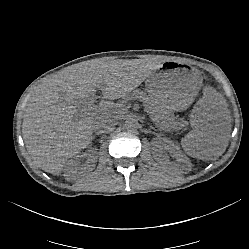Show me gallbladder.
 <instances>
[{
    "label": "gallbladder",
    "instance_id": "obj_1",
    "mask_svg": "<svg viewBox=\"0 0 249 249\" xmlns=\"http://www.w3.org/2000/svg\"><path fill=\"white\" fill-rule=\"evenodd\" d=\"M83 107H85V105H82ZM182 122H183V119H182Z\"/></svg>",
    "mask_w": 249,
    "mask_h": 249
}]
</instances>
